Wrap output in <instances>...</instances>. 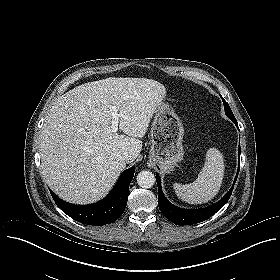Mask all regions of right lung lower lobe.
Returning <instances> with one entry per match:
<instances>
[{
    "mask_svg": "<svg viewBox=\"0 0 280 280\" xmlns=\"http://www.w3.org/2000/svg\"><path fill=\"white\" fill-rule=\"evenodd\" d=\"M134 166L125 170L119 177L112 191L101 201L90 205H74L67 203L55 195H51L56 205L69 217L90 225H105L116 221L124 212L129 185L134 175Z\"/></svg>",
    "mask_w": 280,
    "mask_h": 280,
    "instance_id": "98d812e1",
    "label": "right lung lower lobe"
}]
</instances>
